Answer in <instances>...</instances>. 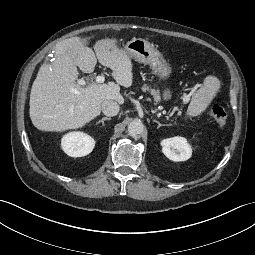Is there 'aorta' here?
<instances>
[{
  "label": "aorta",
  "instance_id": "obj_1",
  "mask_svg": "<svg viewBox=\"0 0 255 255\" xmlns=\"http://www.w3.org/2000/svg\"><path fill=\"white\" fill-rule=\"evenodd\" d=\"M144 132V125L140 120H133L128 125V133L132 137L141 135Z\"/></svg>",
  "mask_w": 255,
  "mask_h": 255
}]
</instances>
